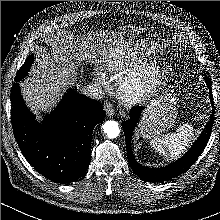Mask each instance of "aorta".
Wrapping results in <instances>:
<instances>
[{
  "instance_id": "1",
  "label": "aorta",
  "mask_w": 220,
  "mask_h": 220,
  "mask_svg": "<svg viewBox=\"0 0 220 220\" xmlns=\"http://www.w3.org/2000/svg\"><path fill=\"white\" fill-rule=\"evenodd\" d=\"M102 128L108 138H116L120 133L119 125L116 121L108 120L103 124Z\"/></svg>"
}]
</instances>
